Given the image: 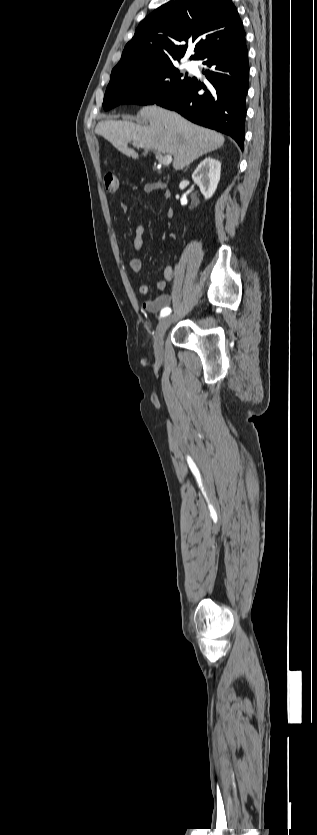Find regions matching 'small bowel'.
I'll return each instance as SVG.
<instances>
[{
    "mask_svg": "<svg viewBox=\"0 0 317 835\" xmlns=\"http://www.w3.org/2000/svg\"><path fill=\"white\" fill-rule=\"evenodd\" d=\"M154 189L152 185H147L145 187L146 192H151ZM121 209L123 212L127 211V205L121 204ZM173 214L172 210H168L167 216L171 217ZM145 233V227L143 224H138L135 229V237L133 241L134 249L136 251H140L143 246V235ZM129 267L134 273H139L141 269V261L138 258H131L129 260ZM174 271L172 265L168 264L163 271V278L160 279L156 283V288L158 291L157 297L154 299H149L143 302V308L150 312V313H157L162 311V309L168 307L171 304V296L165 292L166 287L173 279ZM140 294H147L149 291L148 286L145 283H140L138 287Z\"/></svg>",
    "mask_w": 317,
    "mask_h": 835,
    "instance_id": "small-bowel-1",
    "label": "small bowel"
}]
</instances>
